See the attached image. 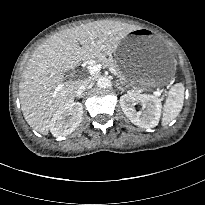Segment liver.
I'll list each match as a JSON object with an SVG mask.
<instances>
[{"mask_svg": "<svg viewBox=\"0 0 205 205\" xmlns=\"http://www.w3.org/2000/svg\"><path fill=\"white\" fill-rule=\"evenodd\" d=\"M136 29L119 21H95L62 30L42 43L27 62L19 84L21 109L30 127L47 135L52 115L76 97L81 81L63 82V72L75 69L82 60L112 54Z\"/></svg>", "mask_w": 205, "mask_h": 205, "instance_id": "liver-1", "label": "liver"}]
</instances>
